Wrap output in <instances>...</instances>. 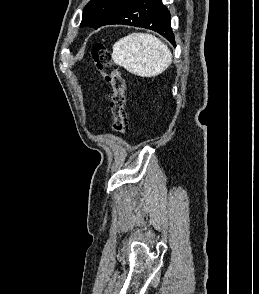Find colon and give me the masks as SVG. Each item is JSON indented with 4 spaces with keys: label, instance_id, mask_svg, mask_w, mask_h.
<instances>
[{
    "label": "colon",
    "instance_id": "colon-1",
    "mask_svg": "<svg viewBox=\"0 0 259 294\" xmlns=\"http://www.w3.org/2000/svg\"><path fill=\"white\" fill-rule=\"evenodd\" d=\"M91 54L95 68L112 89L110 103L113 116L112 128L116 133L125 135L128 130V117L125 111V80L105 45L102 43H95L92 46Z\"/></svg>",
    "mask_w": 259,
    "mask_h": 294
}]
</instances>
